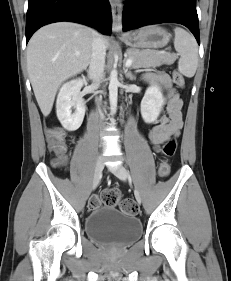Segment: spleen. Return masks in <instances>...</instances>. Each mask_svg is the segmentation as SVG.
<instances>
[{"label": "spleen", "mask_w": 231, "mask_h": 281, "mask_svg": "<svg viewBox=\"0 0 231 281\" xmlns=\"http://www.w3.org/2000/svg\"><path fill=\"white\" fill-rule=\"evenodd\" d=\"M174 32V47L180 53L178 70L184 76L191 78L195 75L198 66L197 42L191 34L180 27H176Z\"/></svg>", "instance_id": "1"}]
</instances>
